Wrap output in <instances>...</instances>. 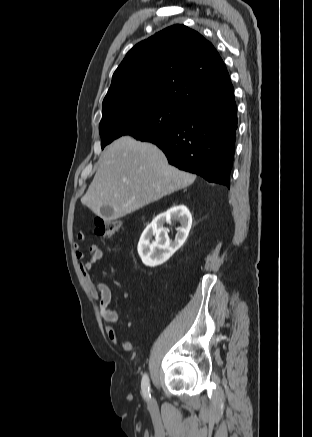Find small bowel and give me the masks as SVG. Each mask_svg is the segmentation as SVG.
<instances>
[{"instance_id": "c3829d8e", "label": "small bowel", "mask_w": 312, "mask_h": 437, "mask_svg": "<svg viewBox=\"0 0 312 437\" xmlns=\"http://www.w3.org/2000/svg\"><path fill=\"white\" fill-rule=\"evenodd\" d=\"M77 240L78 242L75 243L74 249L76 258L79 260V269L84 282L92 298L98 301L100 313L104 321L109 324H115L119 321V315L109 307L112 297L110 288L92 272L94 264L103 258L104 251L97 244L87 245L85 233L82 231L77 233ZM105 331L109 340L115 345L120 346L125 351L133 349V343L121 340L112 326L108 325Z\"/></svg>"}]
</instances>
